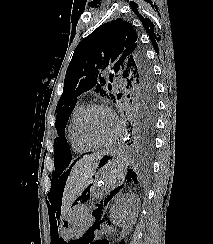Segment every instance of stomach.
<instances>
[{
	"mask_svg": "<svg viewBox=\"0 0 213 244\" xmlns=\"http://www.w3.org/2000/svg\"><path fill=\"white\" fill-rule=\"evenodd\" d=\"M126 176V164L117 156V149H106L98 162L90 184L71 203L69 210L60 223V232L70 237L85 230L87 209L84 202L89 198L109 194L122 184Z\"/></svg>",
	"mask_w": 213,
	"mask_h": 244,
	"instance_id": "0dacf381",
	"label": "stomach"
}]
</instances>
